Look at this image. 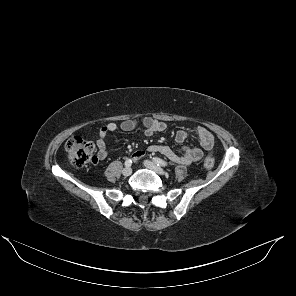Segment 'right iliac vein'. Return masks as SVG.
<instances>
[{
  "instance_id": "obj_1",
  "label": "right iliac vein",
  "mask_w": 296,
  "mask_h": 296,
  "mask_svg": "<svg viewBox=\"0 0 296 296\" xmlns=\"http://www.w3.org/2000/svg\"><path fill=\"white\" fill-rule=\"evenodd\" d=\"M122 173H123L124 176H129V175H131V173H132V169H131V167H125V168L123 169Z\"/></svg>"
}]
</instances>
